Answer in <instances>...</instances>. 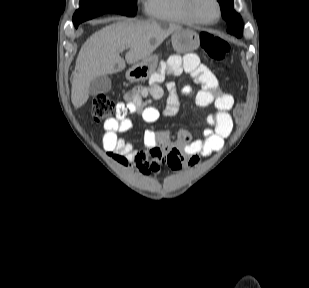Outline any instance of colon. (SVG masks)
<instances>
[{
  "instance_id": "5ec220e1",
  "label": "colon",
  "mask_w": 309,
  "mask_h": 288,
  "mask_svg": "<svg viewBox=\"0 0 309 288\" xmlns=\"http://www.w3.org/2000/svg\"><path fill=\"white\" fill-rule=\"evenodd\" d=\"M200 43L203 50L213 59L222 60L226 57L229 51L228 43L220 37L209 33L202 32L200 34ZM244 103H238L233 110V117L236 122L242 119V111ZM120 112L118 104L110 99L105 93H98L93 97L91 115L93 119L101 121L116 117Z\"/></svg>"
}]
</instances>
